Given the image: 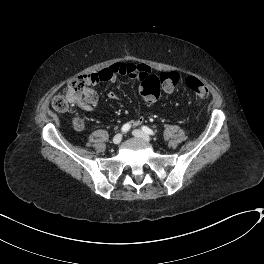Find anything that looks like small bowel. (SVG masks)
Returning <instances> with one entry per match:
<instances>
[{"label": "small bowel", "instance_id": "obj_1", "mask_svg": "<svg viewBox=\"0 0 264 264\" xmlns=\"http://www.w3.org/2000/svg\"><path fill=\"white\" fill-rule=\"evenodd\" d=\"M124 66L125 68H127L129 71L124 74L127 77H129L132 80H137L140 82H143V80H145L147 77L149 76H154L151 68L146 65V64H136V63H123V64H116V65H111L105 69H102L100 71L94 72L89 74L86 77V81H88L89 83H104V82H116L117 80V76H118V72H117V68ZM167 92H171L172 90H166ZM109 98L113 99V100H117L118 97L114 92H109L108 93ZM145 101H148L145 99ZM140 120L137 119L133 122L134 125H138L140 124Z\"/></svg>", "mask_w": 264, "mask_h": 264}]
</instances>
